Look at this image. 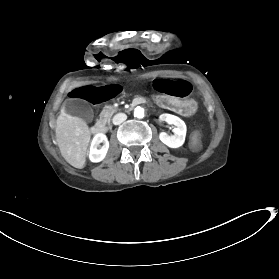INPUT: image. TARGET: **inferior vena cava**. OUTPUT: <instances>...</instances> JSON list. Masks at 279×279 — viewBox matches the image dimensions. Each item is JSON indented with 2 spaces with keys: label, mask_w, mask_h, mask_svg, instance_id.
Masks as SVG:
<instances>
[{
  "label": "inferior vena cava",
  "mask_w": 279,
  "mask_h": 279,
  "mask_svg": "<svg viewBox=\"0 0 279 279\" xmlns=\"http://www.w3.org/2000/svg\"><path fill=\"white\" fill-rule=\"evenodd\" d=\"M127 118V116L125 114H117L114 118H113V123L115 125H120L123 121H125Z\"/></svg>",
  "instance_id": "inferior-vena-cava-1"
}]
</instances>
